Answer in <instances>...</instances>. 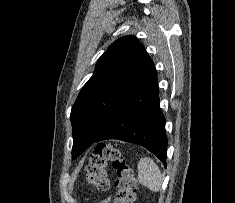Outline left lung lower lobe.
<instances>
[{
    "label": "left lung lower lobe",
    "instance_id": "0a47b994",
    "mask_svg": "<svg viewBox=\"0 0 235 203\" xmlns=\"http://www.w3.org/2000/svg\"><path fill=\"white\" fill-rule=\"evenodd\" d=\"M159 104L157 71L153 64L100 135L85 129L78 134L82 142L80 151L95 142L118 139L145 147L166 168L168 140Z\"/></svg>",
    "mask_w": 235,
    "mask_h": 203
}]
</instances>
